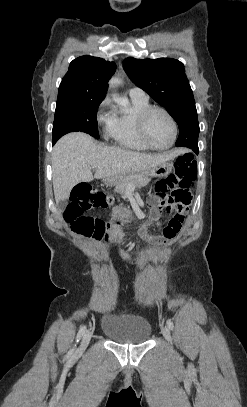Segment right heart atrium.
Wrapping results in <instances>:
<instances>
[{"label":"right heart atrium","instance_id":"right-heart-atrium-1","mask_svg":"<svg viewBox=\"0 0 247 407\" xmlns=\"http://www.w3.org/2000/svg\"><path fill=\"white\" fill-rule=\"evenodd\" d=\"M109 100L105 98L101 104L97 114V120L100 124H103L106 128L111 122V112L107 110Z\"/></svg>","mask_w":247,"mask_h":407}]
</instances>
